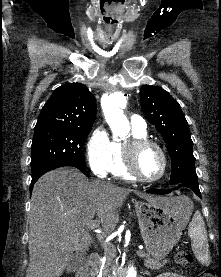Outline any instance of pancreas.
Listing matches in <instances>:
<instances>
[{
	"mask_svg": "<svg viewBox=\"0 0 221 277\" xmlns=\"http://www.w3.org/2000/svg\"><path fill=\"white\" fill-rule=\"evenodd\" d=\"M105 253H106V261L104 263V267L102 269V275L103 277H113L111 272L115 268V262H116V249L114 248L113 245L108 244L104 248ZM139 256H144V265L148 269L151 270H160L164 265L167 263V260L163 261H158L155 259H151L148 257L147 254L144 252L140 251L138 252Z\"/></svg>",
	"mask_w": 221,
	"mask_h": 277,
	"instance_id": "obj_1",
	"label": "pancreas"
}]
</instances>
